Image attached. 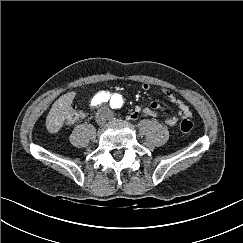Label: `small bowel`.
<instances>
[{
  "label": "small bowel",
  "mask_w": 243,
  "mask_h": 243,
  "mask_svg": "<svg viewBox=\"0 0 243 243\" xmlns=\"http://www.w3.org/2000/svg\"><path fill=\"white\" fill-rule=\"evenodd\" d=\"M142 89L148 91L150 89V85L144 83L142 85ZM161 92L165 95L169 102L179 109L178 113L175 115H166L164 109L157 102H152L149 106H136L131 112L129 119L134 120L140 116H158L160 113H164V122L168 126H174L179 121L189 119L191 117V111L184 101L178 99L176 95L168 89H162Z\"/></svg>",
  "instance_id": "small-bowel-1"
}]
</instances>
